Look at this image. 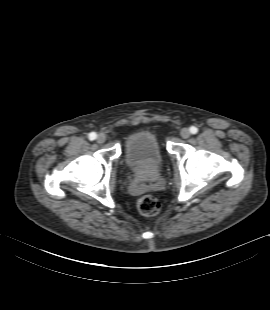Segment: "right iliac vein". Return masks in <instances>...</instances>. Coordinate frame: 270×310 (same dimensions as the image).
Here are the masks:
<instances>
[{
	"label": "right iliac vein",
	"instance_id": "63e3f726",
	"mask_svg": "<svg viewBox=\"0 0 270 310\" xmlns=\"http://www.w3.org/2000/svg\"><path fill=\"white\" fill-rule=\"evenodd\" d=\"M106 140V136L104 134H99L97 137V142L98 143H104Z\"/></svg>",
	"mask_w": 270,
	"mask_h": 310
}]
</instances>
